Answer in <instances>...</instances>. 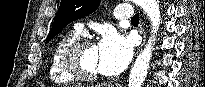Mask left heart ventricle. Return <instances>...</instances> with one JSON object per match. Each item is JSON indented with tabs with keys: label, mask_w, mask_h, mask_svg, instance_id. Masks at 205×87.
<instances>
[{
	"label": "left heart ventricle",
	"mask_w": 205,
	"mask_h": 87,
	"mask_svg": "<svg viewBox=\"0 0 205 87\" xmlns=\"http://www.w3.org/2000/svg\"><path fill=\"white\" fill-rule=\"evenodd\" d=\"M79 65L83 72L88 74L99 72V63L96 46L86 47L79 56Z\"/></svg>",
	"instance_id": "left-heart-ventricle-1"
}]
</instances>
